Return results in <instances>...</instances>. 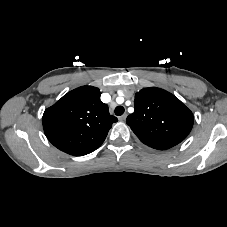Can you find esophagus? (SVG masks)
Returning <instances> with one entry per match:
<instances>
[{"mask_svg": "<svg viewBox=\"0 0 227 227\" xmlns=\"http://www.w3.org/2000/svg\"><path fill=\"white\" fill-rule=\"evenodd\" d=\"M126 117H127V114H123L122 116L119 117V120L125 121Z\"/></svg>", "mask_w": 227, "mask_h": 227, "instance_id": "obj_1", "label": "esophagus"}]
</instances>
